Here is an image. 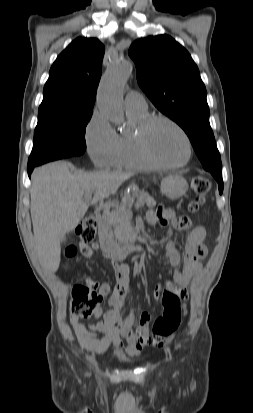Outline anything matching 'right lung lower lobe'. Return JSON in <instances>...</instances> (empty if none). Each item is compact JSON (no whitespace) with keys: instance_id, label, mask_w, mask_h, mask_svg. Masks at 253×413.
Instances as JSON below:
<instances>
[{"instance_id":"98d812e1","label":"right lung lower lobe","mask_w":253,"mask_h":413,"mask_svg":"<svg viewBox=\"0 0 253 413\" xmlns=\"http://www.w3.org/2000/svg\"><path fill=\"white\" fill-rule=\"evenodd\" d=\"M36 166H30V167H28V175H29V177H31V173H32V171H33V169L35 168Z\"/></svg>"}]
</instances>
